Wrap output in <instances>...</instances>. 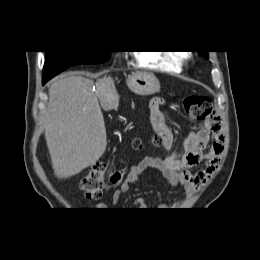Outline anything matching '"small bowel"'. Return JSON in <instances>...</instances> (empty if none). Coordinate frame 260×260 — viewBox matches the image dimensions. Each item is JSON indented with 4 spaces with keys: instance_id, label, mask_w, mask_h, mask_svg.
<instances>
[{
    "instance_id": "obj_1",
    "label": "small bowel",
    "mask_w": 260,
    "mask_h": 260,
    "mask_svg": "<svg viewBox=\"0 0 260 260\" xmlns=\"http://www.w3.org/2000/svg\"><path fill=\"white\" fill-rule=\"evenodd\" d=\"M166 101L156 97L150 102V122L157 134L162 138L163 145L170 150L174 145V136L165 124L162 107ZM224 149V134L220 121L214 116L205 119L201 128L191 131L183 141L179 150L172 151L164 159L145 157L132 166L125 179L112 195V205H117L121 195L139 180L148 169L159 171L169 186H182L188 194H194L215 171ZM198 168V169H197ZM134 206L145 210L148 202L138 197ZM98 210H104V203H97Z\"/></svg>"
}]
</instances>
